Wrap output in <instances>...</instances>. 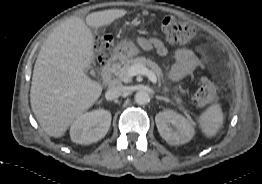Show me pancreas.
I'll list each match as a JSON object with an SVG mask.
<instances>
[{
    "instance_id": "obj_1",
    "label": "pancreas",
    "mask_w": 262,
    "mask_h": 184,
    "mask_svg": "<svg viewBox=\"0 0 262 184\" xmlns=\"http://www.w3.org/2000/svg\"><path fill=\"white\" fill-rule=\"evenodd\" d=\"M134 65H142V66H145V67L146 66L149 67L151 69V71L157 76L158 81L159 82L163 81L162 80L163 79V73H162L161 68L155 62H153L150 59H146L145 57H136V58L128 59L124 63L123 67L114 69L113 73L118 80L126 82V83L130 82L131 77L127 76V71L131 66H134ZM163 91L168 92L169 89L166 86H164ZM174 99L176 100L177 103H181L180 98L174 97Z\"/></svg>"
}]
</instances>
